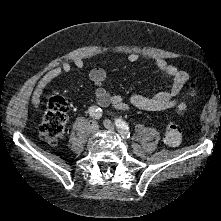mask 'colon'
<instances>
[{
  "instance_id": "5ec220e1",
  "label": "colon",
  "mask_w": 221,
  "mask_h": 221,
  "mask_svg": "<svg viewBox=\"0 0 221 221\" xmlns=\"http://www.w3.org/2000/svg\"><path fill=\"white\" fill-rule=\"evenodd\" d=\"M197 88L195 82L188 86L189 94L192 95ZM186 105L180 103L177 106L179 113L183 112ZM68 106L66 100L58 95L52 94L47 102L42 121L39 127V138L49 146H56L64 135L67 121ZM164 140L169 146H178L182 140V130L175 122L166 126Z\"/></svg>"
}]
</instances>
